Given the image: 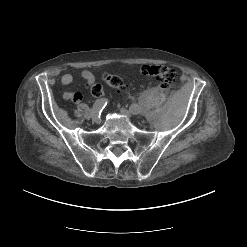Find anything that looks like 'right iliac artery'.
<instances>
[{
	"mask_svg": "<svg viewBox=\"0 0 247 247\" xmlns=\"http://www.w3.org/2000/svg\"><path fill=\"white\" fill-rule=\"evenodd\" d=\"M108 100L105 98L98 99L92 107V111L96 114H99L107 105Z\"/></svg>",
	"mask_w": 247,
	"mask_h": 247,
	"instance_id": "1",
	"label": "right iliac artery"
}]
</instances>
